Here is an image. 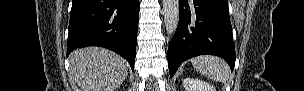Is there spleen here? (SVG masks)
<instances>
[{"label": "spleen", "mask_w": 304, "mask_h": 91, "mask_svg": "<svg viewBox=\"0 0 304 91\" xmlns=\"http://www.w3.org/2000/svg\"><path fill=\"white\" fill-rule=\"evenodd\" d=\"M197 72L210 79L226 82L229 78V68L226 63L215 56L202 55L192 59Z\"/></svg>", "instance_id": "obj_1"}]
</instances>
